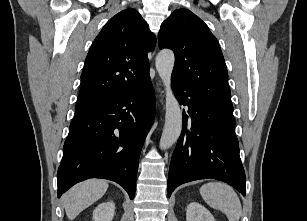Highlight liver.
Here are the masks:
<instances>
[{
	"label": "liver",
	"instance_id": "liver-1",
	"mask_svg": "<svg viewBox=\"0 0 307 221\" xmlns=\"http://www.w3.org/2000/svg\"><path fill=\"white\" fill-rule=\"evenodd\" d=\"M105 180L90 179L73 186L63 198L67 217L74 220L80 212L99 200L107 191Z\"/></svg>",
	"mask_w": 307,
	"mask_h": 221
}]
</instances>
